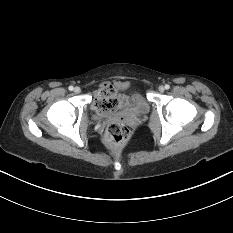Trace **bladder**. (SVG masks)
Here are the masks:
<instances>
[{"label":"bladder","mask_w":233,"mask_h":233,"mask_svg":"<svg viewBox=\"0 0 233 233\" xmlns=\"http://www.w3.org/2000/svg\"><path fill=\"white\" fill-rule=\"evenodd\" d=\"M116 91L122 100L120 110L128 114L143 115L148 113L149 105L146 99L128 82H117Z\"/></svg>","instance_id":"bladder-1"}]
</instances>
